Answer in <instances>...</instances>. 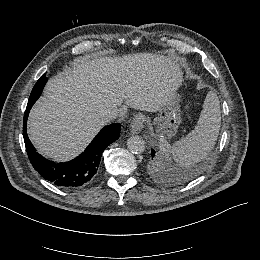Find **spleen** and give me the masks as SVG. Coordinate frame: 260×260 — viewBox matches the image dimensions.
Listing matches in <instances>:
<instances>
[{"mask_svg":"<svg viewBox=\"0 0 260 260\" xmlns=\"http://www.w3.org/2000/svg\"><path fill=\"white\" fill-rule=\"evenodd\" d=\"M221 127L220 101L216 93L209 91L194 130L172 146L165 139L159 141L160 154L181 167H189L205 159L214 148Z\"/></svg>","mask_w":260,"mask_h":260,"instance_id":"obj_1","label":"spleen"}]
</instances>
